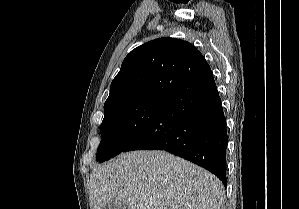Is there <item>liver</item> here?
Returning a JSON list of instances; mask_svg holds the SVG:
<instances>
[{"mask_svg":"<svg viewBox=\"0 0 299 209\" xmlns=\"http://www.w3.org/2000/svg\"><path fill=\"white\" fill-rule=\"evenodd\" d=\"M222 182L165 151H132L96 166L90 175L92 209L115 200L130 209H223Z\"/></svg>","mask_w":299,"mask_h":209,"instance_id":"1","label":"liver"}]
</instances>
